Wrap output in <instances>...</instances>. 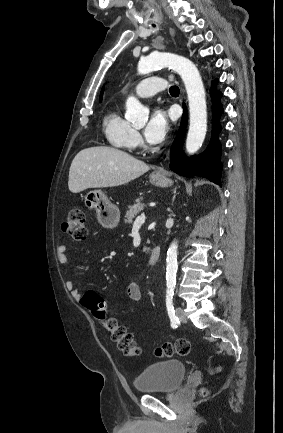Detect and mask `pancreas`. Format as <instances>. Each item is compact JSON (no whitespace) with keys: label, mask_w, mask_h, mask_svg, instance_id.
Instances as JSON below:
<instances>
[{"label":"pancreas","mask_w":283,"mask_h":433,"mask_svg":"<svg viewBox=\"0 0 283 433\" xmlns=\"http://www.w3.org/2000/svg\"><path fill=\"white\" fill-rule=\"evenodd\" d=\"M143 208H144V204L143 202H139V200L138 202H135V204H130L125 214L124 223H128V225H130V223H133L135 214H138V212H140V210H143ZM150 251H151L150 247H145L144 253H150Z\"/></svg>","instance_id":"1"}]
</instances>
